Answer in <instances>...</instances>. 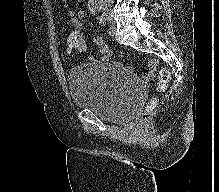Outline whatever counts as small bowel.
Instances as JSON below:
<instances>
[{
	"label": "small bowel",
	"instance_id": "obj_1",
	"mask_svg": "<svg viewBox=\"0 0 219 192\" xmlns=\"http://www.w3.org/2000/svg\"><path fill=\"white\" fill-rule=\"evenodd\" d=\"M97 9V5L95 4L94 0L88 1V11L91 14H94ZM83 18L84 12L79 10L75 15L71 16V24L73 26V31L68 37L67 44H66V51L70 52L68 49V42L74 41L76 39H80L85 45V38L83 34ZM93 44L99 49L101 53L100 60L102 62H108L111 58L110 50L108 49L107 45L104 42V39L101 36H95L92 39ZM157 62L153 59L148 61V72H146L142 79L144 81H150L154 76V71L156 70ZM130 70V69H129Z\"/></svg>",
	"mask_w": 219,
	"mask_h": 192
}]
</instances>
